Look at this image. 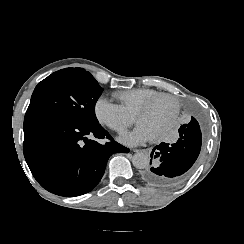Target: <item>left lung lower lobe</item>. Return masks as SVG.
Returning <instances> with one entry per match:
<instances>
[{
	"label": "left lung lower lobe",
	"mask_w": 244,
	"mask_h": 244,
	"mask_svg": "<svg viewBox=\"0 0 244 244\" xmlns=\"http://www.w3.org/2000/svg\"><path fill=\"white\" fill-rule=\"evenodd\" d=\"M180 138L174 144L162 142L152 150L151 157L160 158L159 165L144 168L140 177L150 186L171 189L182 183L197 160L202 143L198 121L191 117L188 124L179 128ZM152 159L150 160V165Z\"/></svg>",
	"instance_id": "1"
}]
</instances>
